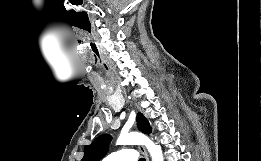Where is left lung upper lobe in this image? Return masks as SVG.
<instances>
[{"mask_svg": "<svg viewBox=\"0 0 261 161\" xmlns=\"http://www.w3.org/2000/svg\"><path fill=\"white\" fill-rule=\"evenodd\" d=\"M138 129L145 133H151V127L147 119L141 114H137ZM112 137L104 134L97 137L91 145H86L84 149V157L81 161H99L108 150Z\"/></svg>", "mask_w": 261, "mask_h": 161, "instance_id": "obj_1", "label": "left lung upper lobe"}]
</instances>
